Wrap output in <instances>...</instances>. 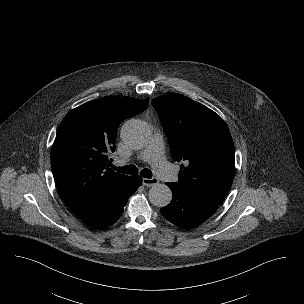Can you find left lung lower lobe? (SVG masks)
Wrapping results in <instances>:
<instances>
[{
	"mask_svg": "<svg viewBox=\"0 0 304 304\" xmlns=\"http://www.w3.org/2000/svg\"><path fill=\"white\" fill-rule=\"evenodd\" d=\"M172 190L169 205L161 208V214L174 225L191 229L206 221L217 209L218 204L202 199L182 190L174 183H166Z\"/></svg>",
	"mask_w": 304,
	"mask_h": 304,
	"instance_id": "left-lung-lower-lobe-1",
	"label": "left lung lower lobe"
}]
</instances>
